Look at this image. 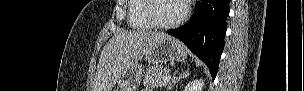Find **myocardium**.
<instances>
[{"instance_id": "obj_1", "label": "myocardium", "mask_w": 304, "mask_h": 91, "mask_svg": "<svg viewBox=\"0 0 304 91\" xmlns=\"http://www.w3.org/2000/svg\"><path fill=\"white\" fill-rule=\"evenodd\" d=\"M158 0H145L144 14L146 19L152 24V26L156 29H171L179 26L188 16L189 13V5L186 1L180 0L183 5L182 14L172 22L163 23L159 22L154 16V3Z\"/></svg>"}]
</instances>
